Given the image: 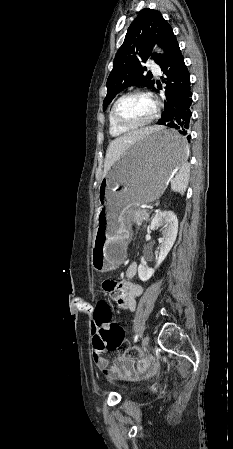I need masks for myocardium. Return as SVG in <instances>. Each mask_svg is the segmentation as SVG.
I'll use <instances>...</instances> for the list:
<instances>
[{
    "label": "myocardium",
    "mask_w": 233,
    "mask_h": 449,
    "mask_svg": "<svg viewBox=\"0 0 233 449\" xmlns=\"http://www.w3.org/2000/svg\"><path fill=\"white\" fill-rule=\"evenodd\" d=\"M135 95H141V96H146V97H148V98L152 101V103H153V112H152L151 116H150L147 120H145V121H143V122H140V123H137V124H126V123H123V122L120 121V120L117 118V116H116V109H117V106H118V104H119L123 99H125V98H127V97H130V96H135ZM158 108H159L158 102H157V100L155 99V97H154L151 93H149V92H147V91H144V90H139V89H137V90H132V91H129V92H127V93H124L123 95H121V96H120V97L113 103V105H112V107H111V110H110V117H111L112 122H113L119 129H122V130H128V131H130V130H136V129H141V128H144V127L150 125V124L157 118V115H158Z\"/></svg>",
    "instance_id": "obj_1"
}]
</instances>
